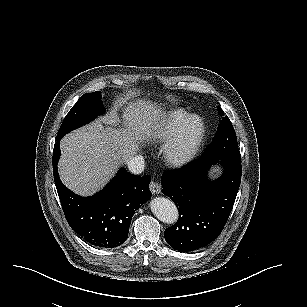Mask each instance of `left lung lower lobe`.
<instances>
[{
  "instance_id": "1",
  "label": "left lung lower lobe",
  "mask_w": 307,
  "mask_h": 307,
  "mask_svg": "<svg viewBox=\"0 0 307 307\" xmlns=\"http://www.w3.org/2000/svg\"><path fill=\"white\" fill-rule=\"evenodd\" d=\"M224 167L214 182L207 170L213 164ZM241 160L200 158L178 170L162 175L163 194L179 210L178 222L165 229L167 243L179 252H191L208 246L223 230L232 211L241 182Z\"/></svg>"
}]
</instances>
